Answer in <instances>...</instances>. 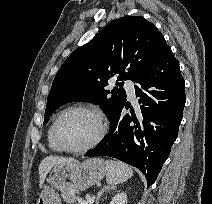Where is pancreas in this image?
<instances>
[{
  "label": "pancreas",
  "instance_id": "pancreas-1",
  "mask_svg": "<svg viewBox=\"0 0 212 204\" xmlns=\"http://www.w3.org/2000/svg\"><path fill=\"white\" fill-rule=\"evenodd\" d=\"M76 192L72 189L62 191L61 196L68 204H76Z\"/></svg>",
  "mask_w": 212,
  "mask_h": 204
}]
</instances>
